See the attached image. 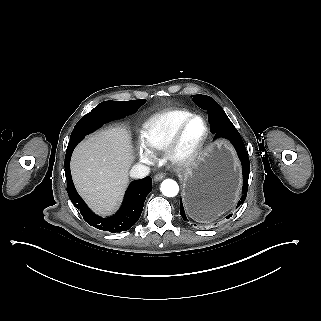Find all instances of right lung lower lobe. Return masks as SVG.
<instances>
[{
    "mask_svg": "<svg viewBox=\"0 0 321 321\" xmlns=\"http://www.w3.org/2000/svg\"><path fill=\"white\" fill-rule=\"evenodd\" d=\"M139 108L126 102L113 101L96 109L102 125L111 120L119 119L135 113ZM89 134L88 131L70 137L65 155V175L67 179V193L74 206L80 211L83 219L91 226L112 233L126 231L131 228L140 218L147 195L152 190V179L147 176L133 181L126 191L123 204L119 211L109 218H101L95 215L78 195L70 173V159L76 145Z\"/></svg>",
    "mask_w": 321,
    "mask_h": 321,
    "instance_id": "1",
    "label": "right lung lower lobe"
}]
</instances>
